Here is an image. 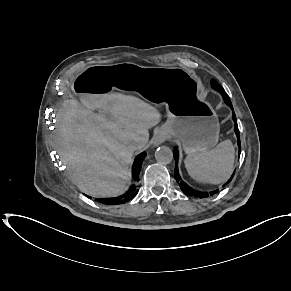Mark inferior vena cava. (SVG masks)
Wrapping results in <instances>:
<instances>
[{
  "instance_id": "inferior-vena-cava-1",
  "label": "inferior vena cava",
  "mask_w": 291,
  "mask_h": 291,
  "mask_svg": "<svg viewBox=\"0 0 291 291\" xmlns=\"http://www.w3.org/2000/svg\"><path fill=\"white\" fill-rule=\"evenodd\" d=\"M139 148H140L139 145L136 144V143H133V144L130 145V149L133 150V151L138 150Z\"/></svg>"
}]
</instances>
